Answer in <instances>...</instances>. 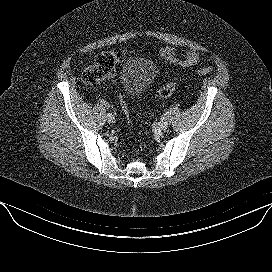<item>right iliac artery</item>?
Masks as SVG:
<instances>
[{
  "instance_id": "82829eb1",
  "label": "right iliac artery",
  "mask_w": 272,
  "mask_h": 272,
  "mask_svg": "<svg viewBox=\"0 0 272 272\" xmlns=\"http://www.w3.org/2000/svg\"><path fill=\"white\" fill-rule=\"evenodd\" d=\"M106 115H107V117H109V118H110V117H112V115H113V114H112V112H110V111H109V112H107V114H106Z\"/></svg>"
}]
</instances>
